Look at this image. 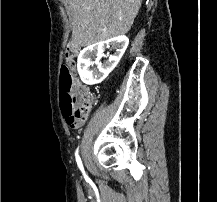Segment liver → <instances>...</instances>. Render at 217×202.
Here are the masks:
<instances>
[{
  "instance_id": "1",
  "label": "liver",
  "mask_w": 217,
  "mask_h": 202,
  "mask_svg": "<svg viewBox=\"0 0 217 202\" xmlns=\"http://www.w3.org/2000/svg\"><path fill=\"white\" fill-rule=\"evenodd\" d=\"M72 24V46H91L129 32L142 0H63Z\"/></svg>"
}]
</instances>
